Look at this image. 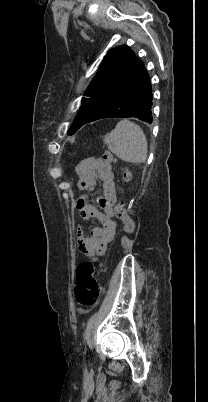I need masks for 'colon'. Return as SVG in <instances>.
<instances>
[{
    "instance_id": "1",
    "label": "colon",
    "mask_w": 208,
    "mask_h": 402,
    "mask_svg": "<svg viewBox=\"0 0 208 402\" xmlns=\"http://www.w3.org/2000/svg\"><path fill=\"white\" fill-rule=\"evenodd\" d=\"M104 159L107 162H112V153L105 151ZM122 177L125 181H129L130 174L126 169H123ZM115 214L123 223L124 230L127 233H132L135 222L127 213L123 197H120L115 203ZM96 270L97 267L90 261L81 262L76 267L75 298L82 308L94 307L99 300L102 288L95 277ZM99 270L104 273L107 271L105 262L100 263Z\"/></svg>"
}]
</instances>
